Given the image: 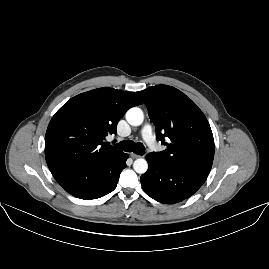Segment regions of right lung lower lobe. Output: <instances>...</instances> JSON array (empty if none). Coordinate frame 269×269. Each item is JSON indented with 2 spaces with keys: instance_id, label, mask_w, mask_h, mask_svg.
<instances>
[{
  "instance_id": "98d812e1",
  "label": "right lung lower lobe",
  "mask_w": 269,
  "mask_h": 269,
  "mask_svg": "<svg viewBox=\"0 0 269 269\" xmlns=\"http://www.w3.org/2000/svg\"><path fill=\"white\" fill-rule=\"evenodd\" d=\"M128 155L118 152L93 163L59 166L51 170L56 181L80 199H97L112 192L126 167Z\"/></svg>"
}]
</instances>
